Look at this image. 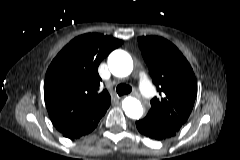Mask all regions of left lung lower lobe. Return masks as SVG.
I'll use <instances>...</instances> for the list:
<instances>
[{"mask_svg": "<svg viewBox=\"0 0 240 160\" xmlns=\"http://www.w3.org/2000/svg\"><path fill=\"white\" fill-rule=\"evenodd\" d=\"M138 131L154 140H165L173 137L176 132L160 124L150 113L145 118L136 121Z\"/></svg>", "mask_w": 240, "mask_h": 160, "instance_id": "1", "label": "left lung lower lobe"}]
</instances>
